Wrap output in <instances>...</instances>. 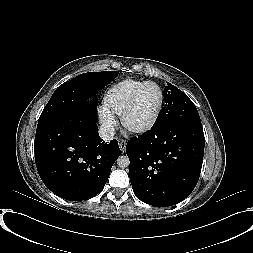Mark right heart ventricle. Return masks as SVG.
I'll list each match as a JSON object with an SVG mask.
<instances>
[{"instance_id": "1", "label": "right heart ventricle", "mask_w": 253, "mask_h": 253, "mask_svg": "<svg viewBox=\"0 0 253 253\" xmlns=\"http://www.w3.org/2000/svg\"><path fill=\"white\" fill-rule=\"evenodd\" d=\"M145 81L123 79L111 85L103 97V107L114 115H121L134 90Z\"/></svg>"}]
</instances>
